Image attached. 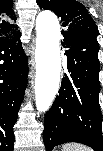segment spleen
<instances>
[{"label": "spleen", "instance_id": "spleen-1", "mask_svg": "<svg viewBox=\"0 0 103 151\" xmlns=\"http://www.w3.org/2000/svg\"><path fill=\"white\" fill-rule=\"evenodd\" d=\"M62 151H93V150L82 144L71 143V144H65L62 147Z\"/></svg>", "mask_w": 103, "mask_h": 151}]
</instances>
